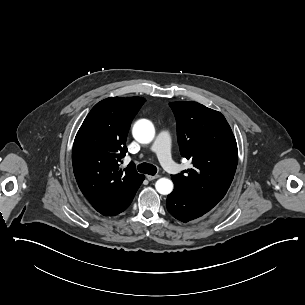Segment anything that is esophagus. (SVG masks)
I'll return each mask as SVG.
<instances>
[{"mask_svg":"<svg viewBox=\"0 0 305 305\" xmlns=\"http://www.w3.org/2000/svg\"><path fill=\"white\" fill-rule=\"evenodd\" d=\"M160 175H147L146 178L149 180V181H152L154 179H157L159 178Z\"/></svg>","mask_w":305,"mask_h":305,"instance_id":"34e87169","label":"esophagus"}]
</instances>
